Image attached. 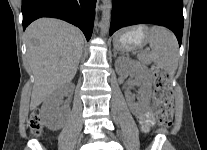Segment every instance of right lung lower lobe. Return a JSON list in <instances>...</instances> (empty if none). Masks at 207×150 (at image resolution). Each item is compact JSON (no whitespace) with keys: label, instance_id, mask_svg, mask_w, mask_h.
<instances>
[{"label":"right lung lower lobe","instance_id":"98d812e1","mask_svg":"<svg viewBox=\"0 0 207 150\" xmlns=\"http://www.w3.org/2000/svg\"><path fill=\"white\" fill-rule=\"evenodd\" d=\"M96 0H22L23 29L41 17L65 20L79 27L89 40Z\"/></svg>","mask_w":207,"mask_h":150}]
</instances>
